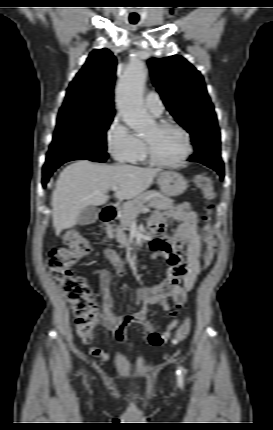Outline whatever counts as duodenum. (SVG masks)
Returning a JSON list of instances; mask_svg holds the SVG:
<instances>
[{
    "label": "duodenum",
    "instance_id": "duodenum-1",
    "mask_svg": "<svg viewBox=\"0 0 273 430\" xmlns=\"http://www.w3.org/2000/svg\"><path fill=\"white\" fill-rule=\"evenodd\" d=\"M117 214H118V210L115 205L108 204L107 206L104 207V209L100 214V222H101V225L99 226L100 233H102L105 227L116 218ZM139 248L140 247L138 245H135L132 250L137 251L139 250Z\"/></svg>",
    "mask_w": 273,
    "mask_h": 430
}]
</instances>
